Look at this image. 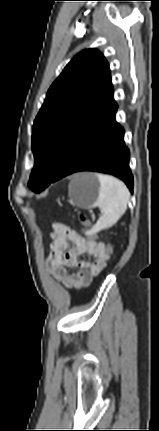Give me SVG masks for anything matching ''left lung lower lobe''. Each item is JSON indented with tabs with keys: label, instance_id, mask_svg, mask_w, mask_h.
Wrapping results in <instances>:
<instances>
[{
	"label": "left lung lower lobe",
	"instance_id": "left-lung-lower-lobe-1",
	"mask_svg": "<svg viewBox=\"0 0 159 431\" xmlns=\"http://www.w3.org/2000/svg\"><path fill=\"white\" fill-rule=\"evenodd\" d=\"M116 111L114 101L76 134L51 183L75 172L95 171L122 179L133 192L130 152L123 140L124 129L115 120Z\"/></svg>",
	"mask_w": 159,
	"mask_h": 431
}]
</instances>
